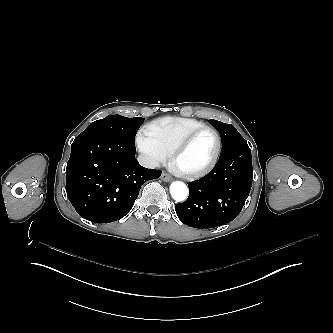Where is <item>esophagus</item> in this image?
Instances as JSON below:
<instances>
[{
	"label": "esophagus",
	"instance_id": "34e87169",
	"mask_svg": "<svg viewBox=\"0 0 333 333\" xmlns=\"http://www.w3.org/2000/svg\"><path fill=\"white\" fill-rule=\"evenodd\" d=\"M161 180L164 182H170L172 180V177L168 173L162 172Z\"/></svg>",
	"mask_w": 333,
	"mask_h": 333
}]
</instances>
